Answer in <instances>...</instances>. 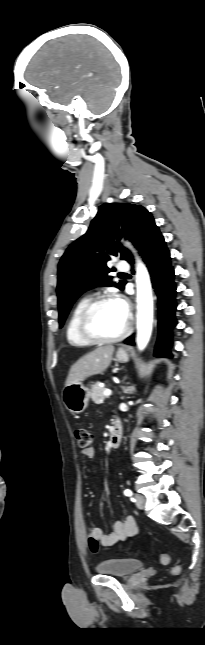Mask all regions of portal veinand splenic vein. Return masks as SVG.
I'll list each match as a JSON object with an SVG mask.
<instances>
[{"label": "portal vein and splenic vein", "mask_w": 205, "mask_h": 645, "mask_svg": "<svg viewBox=\"0 0 205 645\" xmlns=\"http://www.w3.org/2000/svg\"><path fill=\"white\" fill-rule=\"evenodd\" d=\"M111 393H112V391L110 389H106L103 394H104V396H110Z\"/></svg>", "instance_id": "1"}]
</instances>
